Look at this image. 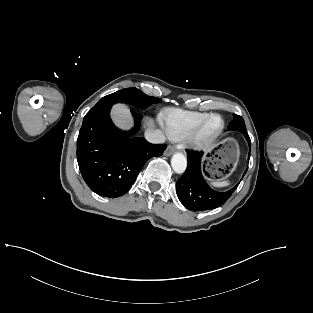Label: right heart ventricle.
I'll use <instances>...</instances> for the list:
<instances>
[{"instance_id": "obj_1", "label": "right heart ventricle", "mask_w": 313, "mask_h": 313, "mask_svg": "<svg viewBox=\"0 0 313 313\" xmlns=\"http://www.w3.org/2000/svg\"><path fill=\"white\" fill-rule=\"evenodd\" d=\"M209 114L169 109L162 113L164 129L172 140L184 139Z\"/></svg>"}]
</instances>
